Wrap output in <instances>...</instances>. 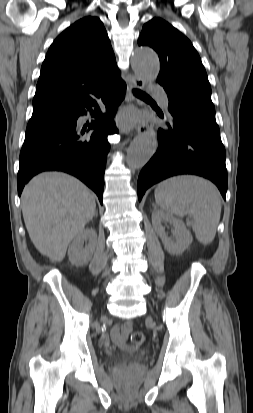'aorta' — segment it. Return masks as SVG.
<instances>
[{
    "label": "aorta",
    "instance_id": "1",
    "mask_svg": "<svg viewBox=\"0 0 253 413\" xmlns=\"http://www.w3.org/2000/svg\"><path fill=\"white\" fill-rule=\"evenodd\" d=\"M132 66L135 73L142 79L153 80L159 73V59L149 47L136 48L132 56ZM157 136L152 131H146L136 137L127 152V164L130 168L143 167L156 152Z\"/></svg>",
    "mask_w": 253,
    "mask_h": 413
}]
</instances>
